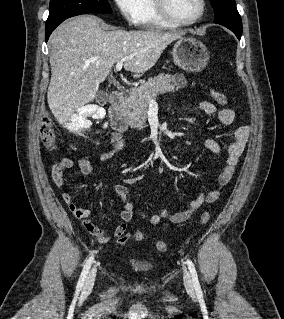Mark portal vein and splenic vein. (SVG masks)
I'll return each mask as SVG.
<instances>
[{"label":"portal vein and splenic vein","instance_id":"portal-vein-and-splenic-vein-1","mask_svg":"<svg viewBox=\"0 0 284 319\" xmlns=\"http://www.w3.org/2000/svg\"><path fill=\"white\" fill-rule=\"evenodd\" d=\"M123 62H124V59H121L119 61H117L116 63V71H120L122 69V66H123ZM155 100H151V102L153 103Z\"/></svg>","mask_w":284,"mask_h":319}]
</instances>
